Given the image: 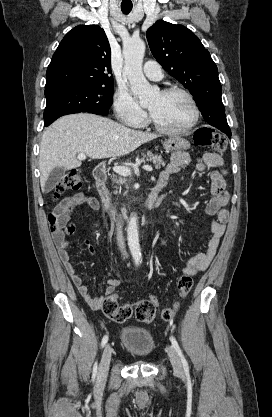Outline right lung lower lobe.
<instances>
[{"label": "right lung lower lobe", "instance_id": "1", "mask_svg": "<svg viewBox=\"0 0 272 417\" xmlns=\"http://www.w3.org/2000/svg\"><path fill=\"white\" fill-rule=\"evenodd\" d=\"M79 113V112H78ZM48 125H50V124H46V125H44V126H48Z\"/></svg>", "mask_w": 272, "mask_h": 417}]
</instances>
